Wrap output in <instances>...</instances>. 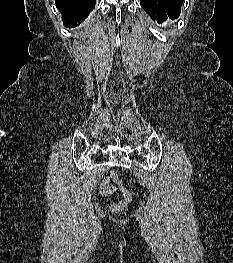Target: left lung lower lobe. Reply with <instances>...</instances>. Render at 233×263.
<instances>
[{
	"mask_svg": "<svg viewBox=\"0 0 233 263\" xmlns=\"http://www.w3.org/2000/svg\"><path fill=\"white\" fill-rule=\"evenodd\" d=\"M183 0H140L142 8L160 24L167 18L177 19Z\"/></svg>",
	"mask_w": 233,
	"mask_h": 263,
	"instance_id": "0a47b994",
	"label": "left lung lower lobe"
}]
</instances>
